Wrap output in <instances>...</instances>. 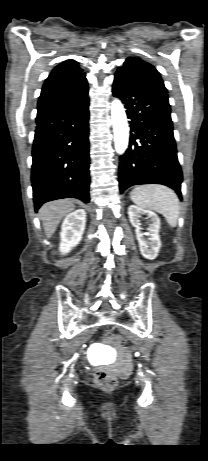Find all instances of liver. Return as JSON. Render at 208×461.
I'll return each instance as SVG.
<instances>
[{
	"label": "liver",
	"mask_w": 208,
	"mask_h": 461,
	"mask_svg": "<svg viewBox=\"0 0 208 461\" xmlns=\"http://www.w3.org/2000/svg\"><path fill=\"white\" fill-rule=\"evenodd\" d=\"M74 208V202L69 199L48 202L41 207L39 216L47 238H51L60 221Z\"/></svg>",
	"instance_id": "liver-1"
}]
</instances>
